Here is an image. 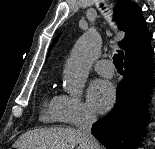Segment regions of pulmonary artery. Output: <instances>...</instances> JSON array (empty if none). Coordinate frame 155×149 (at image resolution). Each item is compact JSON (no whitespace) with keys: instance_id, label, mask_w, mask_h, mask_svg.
<instances>
[{"instance_id":"obj_1","label":"pulmonary artery","mask_w":155,"mask_h":149,"mask_svg":"<svg viewBox=\"0 0 155 149\" xmlns=\"http://www.w3.org/2000/svg\"><path fill=\"white\" fill-rule=\"evenodd\" d=\"M94 69L104 77H112L114 75L113 64L110 60H99L95 63Z\"/></svg>"}]
</instances>
